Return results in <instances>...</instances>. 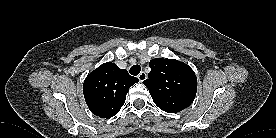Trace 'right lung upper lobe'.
I'll list each match as a JSON object with an SVG mask.
<instances>
[{"instance_id":"right-lung-upper-lobe-1","label":"right lung upper lobe","mask_w":276,"mask_h":138,"mask_svg":"<svg viewBox=\"0 0 276 138\" xmlns=\"http://www.w3.org/2000/svg\"><path fill=\"white\" fill-rule=\"evenodd\" d=\"M138 81L115 63H104L84 80L85 101L96 116L111 118L123 106L129 88Z\"/></svg>"}]
</instances>
